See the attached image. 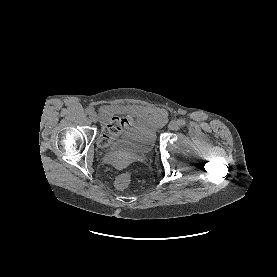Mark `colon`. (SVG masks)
Masks as SVG:
<instances>
[{"mask_svg": "<svg viewBox=\"0 0 277 277\" xmlns=\"http://www.w3.org/2000/svg\"><path fill=\"white\" fill-rule=\"evenodd\" d=\"M131 125V119L127 116L113 117L103 128L100 134L99 142L102 145L108 144L111 140L115 139L122 131ZM132 180L130 173H124L117 177L115 185L118 189H126Z\"/></svg>", "mask_w": 277, "mask_h": 277, "instance_id": "obj_1", "label": "colon"}]
</instances>
